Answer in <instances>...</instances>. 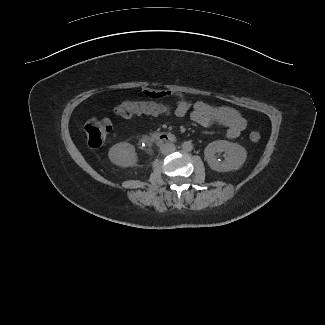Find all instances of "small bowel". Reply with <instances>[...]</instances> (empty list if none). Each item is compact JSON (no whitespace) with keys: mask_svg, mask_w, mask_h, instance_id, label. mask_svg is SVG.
<instances>
[{"mask_svg":"<svg viewBox=\"0 0 325 325\" xmlns=\"http://www.w3.org/2000/svg\"><path fill=\"white\" fill-rule=\"evenodd\" d=\"M144 94L154 101L166 97L176 99L175 117L183 118L189 115L190 120L202 127L222 125L227 128L226 135L229 139L237 138L245 129L246 122L242 115L231 107L214 106L204 101L191 103L184 95L175 89L146 90Z\"/></svg>","mask_w":325,"mask_h":325,"instance_id":"small-bowel-1","label":"small bowel"}]
</instances>
